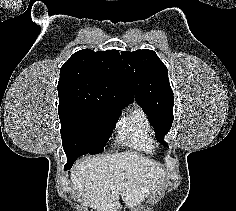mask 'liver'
Segmentation results:
<instances>
[{
    "label": "liver",
    "mask_w": 236,
    "mask_h": 211,
    "mask_svg": "<svg viewBox=\"0 0 236 211\" xmlns=\"http://www.w3.org/2000/svg\"><path fill=\"white\" fill-rule=\"evenodd\" d=\"M165 171L155 162L131 152L85 159L71 171L73 191L96 211L140 204L163 183Z\"/></svg>",
    "instance_id": "1"
}]
</instances>
